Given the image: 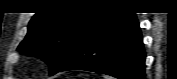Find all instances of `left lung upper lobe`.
<instances>
[{
	"instance_id": "1",
	"label": "left lung upper lobe",
	"mask_w": 177,
	"mask_h": 79,
	"mask_svg": "<svg viewBox=\"0 0 177 79\" xmlns=\"http://www.w3.org/2000/svg\"><path fill=\"white\" fill-rule=\"evenodd\" d=\"M107 12L36 13L28 26V33L17 50L42 58L50 66V75L57 73L71 58L87 34Z\"/></svg>"
}]
</instances>
